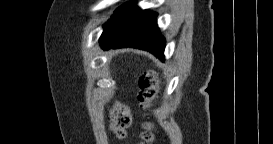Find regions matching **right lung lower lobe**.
Listing matches in <instances>:
<instances>
[{"instance_id":"right-lung-lower-lobe-1","label":"right lung lower lobe","mask_w":273,"mask_h":144,"mask_svg":"<svg viewBox=\"0 0 273 144\" xmlns=\"http://www.w3.org/2000/svg\"><path fill=\"white\" fill-rule=\"evenodd\" d=\"M157 13L141 10L135 2L120 6L104 25L100 42L104 50L134 47L164 59L165 39L159 34Z\"/></svg>"}]
</instances>
